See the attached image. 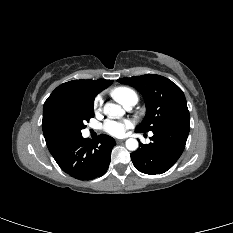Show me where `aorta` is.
Here are the masks:
<instances>
[{
  "label": "aorta",
  "mask_w": 233,
  "mask_h": 233,
  "mask_svg": "<svg viewBox=\"0 0 233 233\" xmlns=\"http://www.w3.org/2000/svg\"><path fill=\"white\" fill-rule=\"evenodd\" d=\"M103 112L109 118L120 117L124 114V110L117 104L106 103L103 108ZM139 144L134 138H129L126 140V148L130 151L137 150Z\"/></svg>",
  "instance_id": "aorta-1"
}]
</instances>
